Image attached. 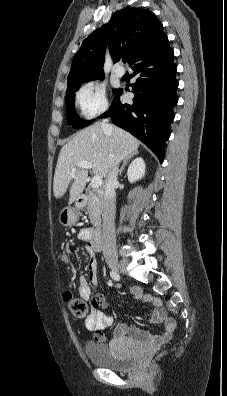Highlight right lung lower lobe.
I'll return each instance as SVG.
<instances>
[{"label": "right lung lower lobe", "instance_id": "obj_1", "mask_svg": "<svg viewBox=\"0 0 227 396\" xmlns=\"http://www.w3.org/2000/svg\"><path fill=\"white\" fill-rule=\"evenodd\" d=\"M130 67L137 75L132 85L133 102L122 104L123 89H119L108 112L99 118L111 117L115 125L145 143L162 163L164 145L174 119L173 108L178 101L177 66L169 41L145 51Z\"/></svg>", "mask_w": 227, "mask_h": 396}]
</instances>
